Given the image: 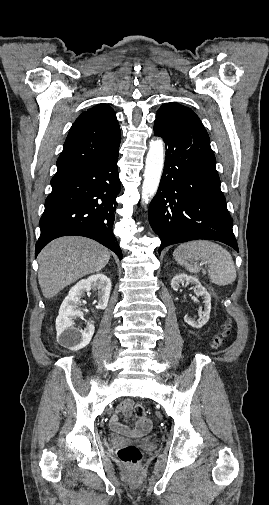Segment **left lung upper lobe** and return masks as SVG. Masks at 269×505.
I'll return each instance as SVG.
<instances>
[{
	"label": "left lung upper lobe",
	"mask_w": 269,
	"mask_h": 505,
	"mask_svg": "<svg viewBox=\"0 0 269 505\" xmlns=\"http://www.w3.org/2000/svg\"><path fill=\"white\" fill-rule=\"evenodd\" d=\"M156 117L164 119L189 118L200 122L198 116L191 109L176 102H170L162 105L158 110Z\"/></svg>",
	"instance_id": "left-lung-upper-lobe-1"
}]
</instances>
